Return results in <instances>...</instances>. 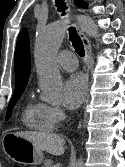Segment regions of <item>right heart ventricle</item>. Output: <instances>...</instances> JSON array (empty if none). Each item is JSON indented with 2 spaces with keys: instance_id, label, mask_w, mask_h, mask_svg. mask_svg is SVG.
<instances>
[{
  "instance_id": "e07e8e85",
  "label": "right heart ventricle",
  "mask_w": 125,
  "mask_h": 167,
  "mask_svg": "<svg viewBox=\"0 0 125 167\" xmlns=\"http://www.w3.org/2000/svg\"><path fill=\"white\" fill-rule=\"evenodd\" d=\"M22 121L30 129L37 131H51L54 124L48 113V105L29 98L22 112Z\"/></svg>"
}]
</instances>
